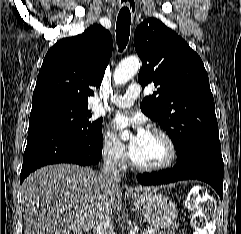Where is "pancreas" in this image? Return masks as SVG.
I'll use <instances>...</instances> for the list:
<instances>
[{
	"label": "pancreas",
	"mask_w": 241,
	"mask_h": 234,
	"mask_svg": "<svg viewBox=\"0 0 241 234\" xmlns=\"http://www.w3.org/2000/svg\"><path fill=\"white\" fill-rule=\"evenodd\" d=\"M151 229H152V233L151 234H166V232L161 231V230H159L157 228H151Z\"/></svg>",
	"instance_id": "cf45deb5"
}]
</instances>
